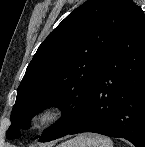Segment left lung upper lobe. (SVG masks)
<instances>
[{"instance_id": "5c2ea615", "label": "left lung upper lobe", "mask_w": 145, "mask_h": 147, "mask_svg": "<svg viewBox=\"0 0 145 147\" xmlns=\"http://www.w3.org/2000/svg\"><path fill=\"white\" fill-rule=\"evenodd\" d=\"M131 0H87L71 12L39 46L17 90L6 138L20 136L29 119L56 106L62 117L40 142L79 122L103 65L117 39Z\"/></svg>"}]
</instances>
